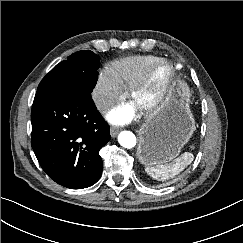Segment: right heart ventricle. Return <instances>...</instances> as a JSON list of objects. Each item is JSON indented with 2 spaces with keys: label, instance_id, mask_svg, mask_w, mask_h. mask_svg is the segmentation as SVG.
I'll use <instances>...</instances> for the list:
<instances>
[{
  "label": "right heart ventricle",
  "instance_id": "e07e8e85",
  "mask_svg": "<svg viewBox=\"0 0 243 243\" xmlns=\"http://www.w3.org/2000/svg\"><path fill=\"white\" fill-rule=\"evenodd\" d=\"M158 59L159 57L154 55L123 57L111 61L107 65L106 71L122 90H127Z\"/></svg>",
  "mask_w": 243,
  "mask_h": 243
}]
</instances>
